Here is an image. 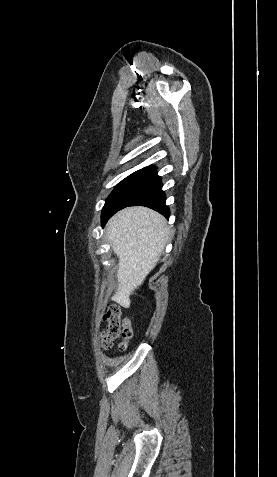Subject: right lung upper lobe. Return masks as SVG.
Listing matches in <instances>:
<instances>
[{
	"instance_id": "1",
	"label": "right lung upper lobe",
	"mask_w": 277,
	"mask_h": 477,
	"mask_svg": "<svg viewBox=\"0 0 277 477\" xmlns=\"http://www.w3.org/2000/svg\"><path fill=\"white\" fill-rule=\"evenodd\" d=\"M147 168H154V167H152V166H149V167H147Z\"/></svg>"
}]
</instances>
